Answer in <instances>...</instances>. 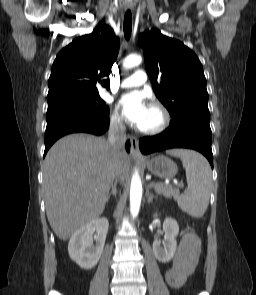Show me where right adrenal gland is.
Returning <instances> with one entry per match:
<instances>
[{
	"label": "right adrenal gland",
	"instance_id": "1",
	"mask_svg": "<svg viewBox=\"0 0 256 295\" xmlns=\"http://www.w3.org/2000/svg\"><path fill=\"white\" fill-rule=\"evenodd\" d=\"M117 193V182L115 181L114 184L112 185L111 193L108 194L106 202L109 201L111 196H116Z\"/></svg>",
	"mask_w": 256,
	"mask_h": 295
}]
</instances>
